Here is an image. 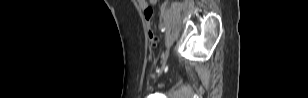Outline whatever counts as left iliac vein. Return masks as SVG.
Returning <instances> with one entry per match:
<instances>
[{"instance_id": "1", "label": "left iliac vein", "mask_w": 308, "mask_h": 98, "mask_svg": "<svg viewBox=\"0 0 308 98\" xmlns=\"http://www.w3.org/2000/svg\"><path fill=\"white\" fill-rule=\"evenodd\" d=\"M168 56H169V51L167 50L165 52V54L163 55L161 65H160V67H159V69L157 71L158 74H160L162 72L163 68L165 67L167 59H168Z\"/></svg>"}]
</instances>
